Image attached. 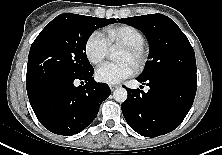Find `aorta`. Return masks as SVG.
Instances as JSON below:
<instances>
[{
    "mask_svg": "<svg viewBox=\"0 0 222 155\" xmlns=\"http://www.w3.org/2000/svg\"><path fill=\"white\" fill-rule=\"evenodd\" d=\"M110 58L111 59L116 58V53L115 52L111 53ZM127 96L128 94H127L126 89L122 87L115 89L113 92V98L115 99V101L120 102V103L125 102L127 99Z\"/></svg>",
    "mask_w": 222,
    "mask_h": 155,
    "instance_id": "762f6f07",
    "label": "aorta"
}]
</instances>
